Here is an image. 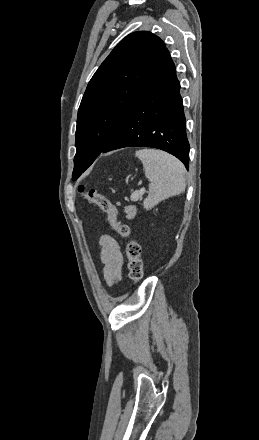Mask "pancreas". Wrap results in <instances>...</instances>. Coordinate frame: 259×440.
Masks as SVG:
<instances>
[{"instance_id": "cf45deb5", "label": "pancreas", "mask_w": 259, "mask_h": 440, "mask_svg": "<svg viewBox=\"0 0 259 440\" xmlns=\"http://www.w3.org/2000/svg\"><path fill=\"white\" fill-rule=\"evenodd\" d=\"M124 212L127 214V217L129 219H132L136 214V207L135 206H127L124 208Z\"/></svg>"}]
</instances>
